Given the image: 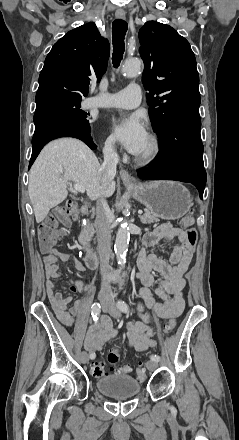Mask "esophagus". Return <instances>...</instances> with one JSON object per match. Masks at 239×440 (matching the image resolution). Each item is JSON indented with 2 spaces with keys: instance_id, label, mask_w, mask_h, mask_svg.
Wrapping results in <instances>:
<instances>
[{
  "instance_id": "1",
  "label": "esophagus",
  "mask_w": 239,
  "mask_h": 440,
  "mask_svg": "<svg viewBox=\"0 0 239 440\" xmlns=\"http://www.w3.org/2000/svg\"><path fill=\"white\" fill-rule=\"evenodd\" d=\"M115 16H116L117 19L124 20L125 19V12L117 10L115 12ZM120 177H121V179H122V181L124 183H131L133 185H137L138 184L137 180L135 178L131 177V175L126 170H124V169L120 170Z\"/></svg>"
}]
</instances>
